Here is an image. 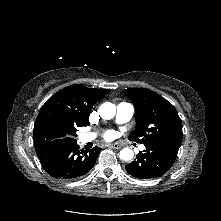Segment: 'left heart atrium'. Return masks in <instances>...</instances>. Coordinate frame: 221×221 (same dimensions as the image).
Listing matches in <instances>:
<instances>
[{
  "label": "left heart atrium",
  "instance_id": "39dd6f15",
  "mask_svg": "<svg viewBox=\"0 0 221 221\" xmlns=\"http://www.w3.org/2000/svg\"><path fill=\"white\" fill-rule=\"evenodd\" d=\"M112 135H113V133H112V132H108V133L106 134V138H111V137H112Z\"/></svg>",
  "mask_w": 221,
  "mask_h": 221
}]
</instances>
